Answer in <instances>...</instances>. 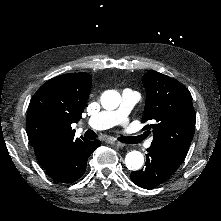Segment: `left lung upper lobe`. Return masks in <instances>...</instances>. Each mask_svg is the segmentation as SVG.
I'll return each instance as SVG.
<instances>
[{"label": "left lung upper lobe", "mask_w": 221, "mask_h": 221, "mask_svg": "<svg viewBox=\"0 0 221 221\" xmlns=\"http://www.w3.org/2000/svg\"><path fill=\"white\" fill-rule=\"evenodd\" d=\"M143 83L147 98L142 122H151L143 130L153 133L152 147L163 151L174 164L181 165L195 131L191 93L177 80L157 71H148Z\"/></svg>", "instance_id": "5c2ea615"}]
</instances>
